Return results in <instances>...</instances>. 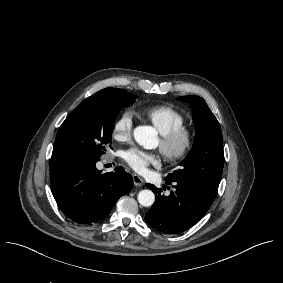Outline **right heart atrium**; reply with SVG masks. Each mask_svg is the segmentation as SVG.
Wrapping results in <instances>:
<instances>
[{
	"label": "right heart atrium",
	"instance_id": "1",
	"mask_svg": "<svg viewBox=\"0 0 283 283\" xmlns=\"http://www.w3.org/2000/svg\"><path fill=\"white\" fill-rule=\"evenodd\" d=\"M133 121L129 113L116 118L111 127V137L117 142H126L132 136Z\"/></svg>",
	"mask_w": 283,
	"mask_h": 283
}]
</instances>
